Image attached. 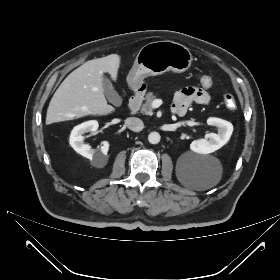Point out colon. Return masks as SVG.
<instances>
[{
	"label": "colon",
	"mask_w": 280,
	"mask_h": 280,
	"mask_svg": "<svg viewBox=\"0 0 280 280\" xmlns=\"http://www.w3.org/2000/svg\"><path fill=\"white\" fill-rule=\"evenodd\" d=\"M198 84L199 86L204 89V90H207L211 87L212 85V80L209 76L207 75H202L199 77L198 79ZM223 102L225 104V106L230 109V110H233L236 108V101H235V98L232 94L230 93H225L223 95Z\"/></svg>",
	"instance_id": "obj_1"
}]
</instances>
